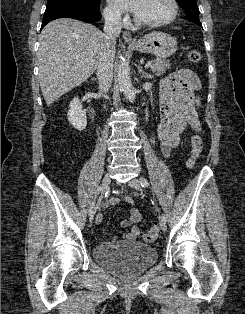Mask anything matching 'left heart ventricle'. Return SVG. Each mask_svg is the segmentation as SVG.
I'll return each mask as SVG.
<instances>
[{"instance_id": "obj_1", "label": "left heart ventricle", "mask_w": 245, "mask_h": 314, "mask_svg": "<svg viewBox=\"0 0 245 314\" xmlns=\"http://www.w3.org/2000/svg\"><path fill=\"white\" fill-rule=\"evenodd\" d=\"M170 11L169 0H144L136 16L143 21H156L166 17Z\"/></svg>"}]
</instances>
